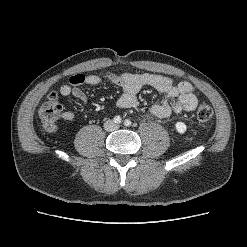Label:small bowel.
Instances as JSON below:
<instances>
[{"label": "small bowel", "instance_id": "small-bowel-1", "mask_svg": "<svg viewBox=\"0 0 247 247\" xmlns=\"http://www.w3.org/2000/svg\"><path fill=\"white\" fill-rule=\"evenodd\" d=\"M106 80L122 89V94L116 101L119 108L137 107V94L144 87H151L164 95L161 103L154 104L149 109L150 113L158 118L193 111L198 104V92L191 83L187 81L175 83L170 77L149 73L76 74L70 77L68 84L60 87L59 93L62 96L72 95L89 105V98L80 87L102 85ZM172 99H175L173 104L170 103ZM60 117L65 121H72L74 113L64 110L61 111Z\"/></svg>", "mask_w": 247, "mask_h": 247}]
</instances>
